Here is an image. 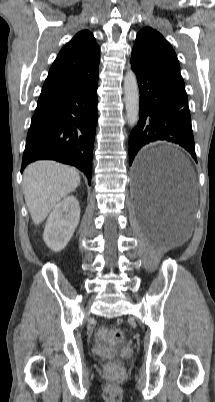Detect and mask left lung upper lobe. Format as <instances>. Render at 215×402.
<instances>
[{
	"instance_id": "obj_1",
	"label": "left lung upper lobe",
	"mask_w": 215,
	"mask_h": 402,
	"mask_svg": "<svg viewBox=\"0 0 215 402\" xmlns=\"http://www.w3.org/2000/svg\"><path fill=\"white\" fill-rule=\"evenodd\" d=\"M131 63L159 73L185 88L175 51L162 34L151 27L138 32Z\"/></svg>"
}]
</instances>
